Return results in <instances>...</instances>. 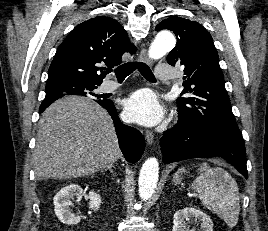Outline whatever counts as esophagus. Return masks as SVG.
<instances>
[{"instance_id":"esophagus-1","label":"esophagus","mask_w":268,"mask_h":231,"mask_svg":"<svg viewBox=\"0 0 268 231\" xmlns=\"http://www.w3.org/2000/svg\"><path fill=\"white\" fill-rule=\"evenodd\" d=\"M139 61L146 63L148 65L152 63L149 56L147 55L146 49L141 50L140 55H139ZM145 137H146V141L148 145H152L154 143V134L151 131H147L145 134Z\"/></svg>"}]
</instances>
